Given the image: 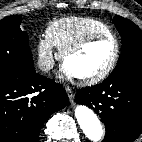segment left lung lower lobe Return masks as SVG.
I'll list each match as a JSON object with an SVG mask.
<instances>
[{"label":"left lung lower lobe","mask_w":142,"mask_h":142,"mask_svg":"<svg viewBox=\"0 0 142 142\" xmlns=\"http://www.w3.org/2000/svg\"><path fill=\"white\" fill-rule=\"evenodd\" d=\"M76 102L89 106L104 122L103 142H132L142 133V78L104 80L80 89Z\"/></svg>","instance_id":"obj_1"}]
</instances>
